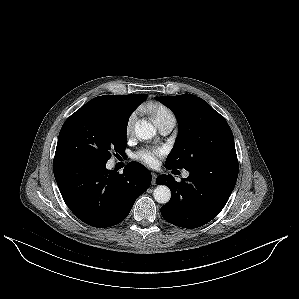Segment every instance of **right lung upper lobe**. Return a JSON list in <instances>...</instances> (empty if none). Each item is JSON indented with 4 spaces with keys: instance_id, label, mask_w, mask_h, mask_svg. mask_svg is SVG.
Segmentation results:
<instances>
[{
    "instance_id": "obj_1",
    "label": "right lung upper lobe",
    "mask_w": 299,
    "mask_h": 299,
    "mask_svg": "<svg viewBox=\"0 0 299 299\" xmlns=\"http://www.w3.org/2000/svg\"><path fill=\"white\" fill-rule=\"evenodd\" d=\"M146 94L135 95H104L99 96L88 102L87 104H107L119 107L127 111H134L145 99Z\"/></svg>"
}]
</instances>
